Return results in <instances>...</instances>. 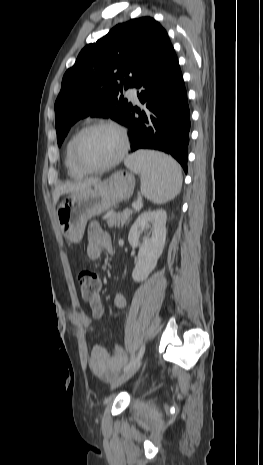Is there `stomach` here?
<instances>
[{"label":"stomach","instance_id":"0dacf381","mask_svg":"<svg viewBox=\"0 0 263 465\" xmlns=\"http://www.w3.org/2000/svg\"><path fill=\"white\" fill-rule=\"evenodd\" d=\"M134 186V176L120 170L104 181L70 193L57 209V220L64 237L70 242H80L88 220L129 199Z\"/></svg>","mask_w":263,"mask_h":465}]
</instances>
